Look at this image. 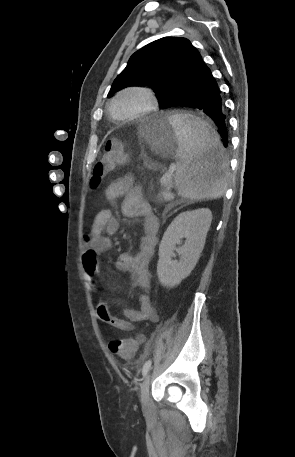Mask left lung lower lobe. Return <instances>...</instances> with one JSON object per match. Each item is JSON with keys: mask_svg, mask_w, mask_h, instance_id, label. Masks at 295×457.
<instances>
[{"mask_svg": "<svg viewBox=\"0 0 295 457\" xmlns=\"http://www.w3.org/2000/svg\"><path fill=\"white\" fill-rule=\"evenodd\" d=\"M189 107L209 116L216 126L224 147L228 146V124L222 105L220 90L215 78L201 55L193 64L189 75L187 88L173 96L164 106ZM215 155H210L212 159Z\"/></svg>", "mask_w": 295, "mask_h": 457, "instance_id": "0a47b994", "label": "left lung lower lobe"}]
</instances>
